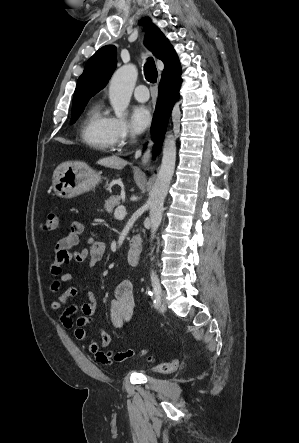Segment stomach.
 <instances>
[{"label": "stomach", "instance_id": "1", "mask_svg": "<svg viewBox=\"0 0 299 443\" xmlns=\"http://www.w3.org/2000/svg\"><path fill=\"white\" fill-rule=\"evenodd\" d=\"M101 181L100 173L80 162L63 163L54 171L53 190L61 198H73L93 189Z\"/></svg>", "mask_w": 299, "mask_h": 443}]
</instances>
